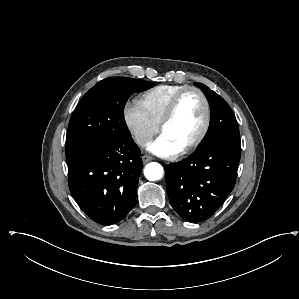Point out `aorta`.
I'll return each mask as SVG.
<instances>
[{
  "label": "aorta",
  "mask_w": 299,
  "mask_h": 299,
  "mask_svg": "<svg viewBox=\"0 0 299 299\" xmlns=\"http://www.w3.org/2000/svg\"><path fill=\"white\" fill-rule=\"evenodd\" d=\"M164 169L157 162H150L144 168V175L149 181H157L163 177Z\"/></svg>",
  "instance_id": "1"
}]
</instances>
